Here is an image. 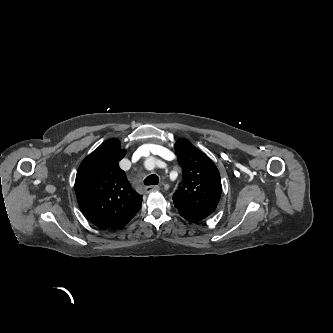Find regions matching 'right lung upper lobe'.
<instances>
[{
    "mask_svg": "<svg viewBox=\"0 0 333 333\" xmlns=\"http://www.w3.org/2000/svg\"><path fill=\"white\" fill-rule=\"evenodd\" d=\"M120 142L106 140L80 164L75 193L81 212L100 228L120 229L140 210L142 196L132 189L118 162Z\"/></svg>",
    "mask_w": 333,
    "mask_h": 333,
    "instance_id": "obj_1",
    "label": "right lung upper lobe"
}]
</instances>
